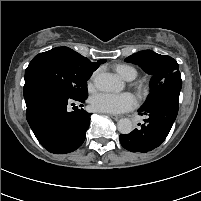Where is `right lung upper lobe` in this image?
Segmentation results:
<instances>
[{
	"label": "right lung upper lobe",
	"instance_id": "cb5924a9",
	"mask_svg": "<svg viewBox=\"0 0 201 201\" xmlns=\"http://www.w3.org/2000/svg\"><path fill=\"white\" fill-rule=\"evenodd\" d=\"M66 53L69 62L79 71H82L90 76L99 67L100 64L104 63L105 60H99L98 62H91L88 58L83 57L79 53L68 47H59Z\"/></svg>",
	"mask_w": 201,
	"mask_h": 201
}]
</instances>
